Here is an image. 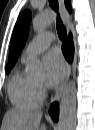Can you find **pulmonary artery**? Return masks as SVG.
Listing matches in <instances>:
<instances>
[{
    "instance_id": "pulmonary-artery-1",
    "label": "pulmonary artery",
    "mask_w": 95,
    "mask_h": 130,
    "mask_svg": "<svg viewBox=\"0 0 95 130\" xmlns=\"http://www.w3.org/2000/svg\"><path fill=\"white\" fill-rule=\"evenodd\" d=\"M54 40V35L51 32H44L37 35L26 47L23 52L22 60L34 57L49 48Z\"/></svg>"
}]
</instances>
